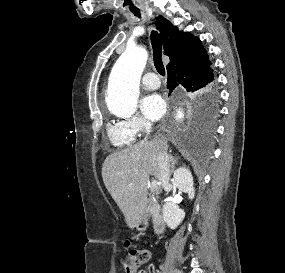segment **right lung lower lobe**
I'll return each instance as SVG.
<instances>
[{
	"label": "right lung lower lobe",
	"mask_w": 285,
	"mask_h": 273,
	"mask_svg": "<svg viewBox=\"0 0 285 273\" xmlns=\"http://www.w3.org/2000/svg\"><path fill=\"white\" fill-rule=\"evenodd\" d=\"M206 53L207 51L167 70L169 93L178 85H182L187 91L194 92L205 90L213 84V70L210 68L211 63ZM196 126L198 128L205 126V119L201 115L197 119Z\"/></svg>",
	"instance_id": "98d812e1"
}]
</instances>
